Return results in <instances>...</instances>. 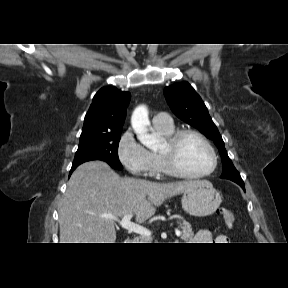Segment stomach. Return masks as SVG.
Segmentation results:
<instances>
[{"instance_id":"stomach-1","label":"stomach","mask_w":288,"mask_h":288,"mask_svg":"<svg viewBox=\"0 0 288 288\" xmlns=\"http://www.w3.org/2000/svg\"><path fill=\"white\" fill-rule=\"evenodd\" d=\"M183 209L192 216L205 217L213 214L220 206V193L207 181H201L183 193Z\"/></svg>"}]
</instances>
